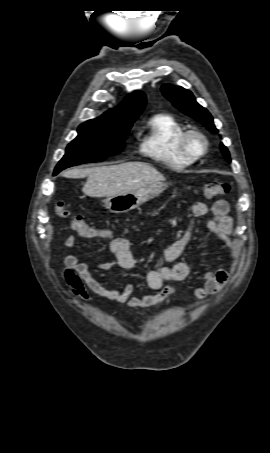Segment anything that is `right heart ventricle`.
Returning a JSON list of instances; mask_svg holds the SVG:
<instances>
[{
	"instance_id": "e07e8e85",
	"label": "right heart ventricle",
	"mask_w": 270,
	"mask_h": 453,
	"mask_svg": "<svg viewBox=\"0 0 270 453\" xmlns=\"http://www.w3.org/2000/svg\"><path fill=\"white\" fill-rule=\"evenodd\" d=\"M184 131V126L173 115L156 114L144 128L141 151L156 162L173 168H186L194 160L179 147V137Z\"/></svg>"
}]
</instances>
